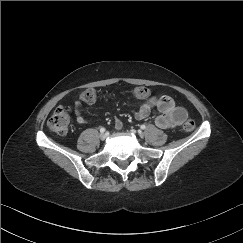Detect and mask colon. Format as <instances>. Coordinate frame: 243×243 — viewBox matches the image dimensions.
<instances>
[{
    "label": "colon",
    "mask_w": 243,
    "mask_h": 243,
    "mask_svg": "<svg viewBox=\"0 0 243 243\" xmlns=\"http://www.w3.org/2000/svg\"><path fill=\"white\" fill-rule=\"evenodd\" d=\"M147 93L148 91L144 87H137L133 91V95L138 99L145 98ZM80 98L85 103H93L96 99L95 91L93 89H86L81 93ZM47 127L58 135L67 134L70 128L68 112L64 108H57L48 119ZM194 127L195 123L192 120H187L183 124V129L186 132L192 131Z\"/></svg>",
    "instance_id": "5ec220e1"
}]
</instances>
